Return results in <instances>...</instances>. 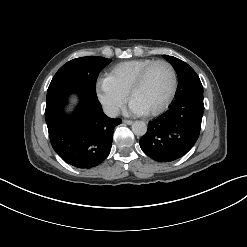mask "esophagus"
<instances>
[{
  "label": "esophagus",
  "instance_id": "1",
  "mask_svg": "<svg viewBox=\"0 0 247 247\" xmlns=\"http://www.w3.org/2000/svg\"><path fill=\"white\" fill-rule=\"evenodd\" d=\"M122 122H123L124 124H127V125H131V124L133 123V121H131V120H126V119H123Z\"/></svg>",
  "mask_w": 247,
  "mask_h": 247
}]
</instances>
